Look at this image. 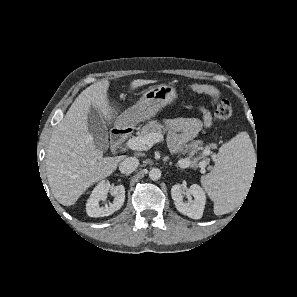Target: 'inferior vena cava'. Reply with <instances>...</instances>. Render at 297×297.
Here are the masks:
<instances>
[{"mask_svg": "<svg viewBox=\"0 0 297 297\" xmlns=\"http://www.w3.org/2000/svg\"><path fill=\"white\" fill-rule=\"evenodd\" d=\"M139 166V160L135 157L125 158L119 165V170L123 174H130Z\"/></svg>", "mask_w": 297, "mask_h": 297, "instance_id": "inferior-vena-cava-1", "label": "inferior vena cava"}]
</instances>
